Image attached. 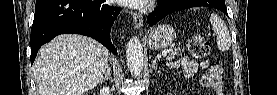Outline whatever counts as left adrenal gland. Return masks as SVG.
<instances>
[{"instance_id":"1","label":"left adrenal gland","mask_w":277,"mask_h":95,"mask_svg":"<svg viewBox=\"0 0 277 95\" xmlns=\"http://www.w3.org/2000/svg\"><path fill=\"white\" fill-rule=\"evenodd\" d=\"M152 68L153 69H156V59L153 61V63H152Z\"/></svg>"}]
</instances>
